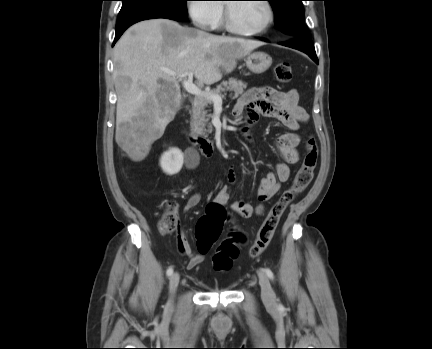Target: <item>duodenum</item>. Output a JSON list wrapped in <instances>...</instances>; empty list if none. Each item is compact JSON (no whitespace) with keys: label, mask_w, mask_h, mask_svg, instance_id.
Masks as SVG:
<instances>
[{"label":"duodenum","mask_w":432,"mask_h":349,"mask_svg":"<svg viewBox=\"0 0 432 349\" xmlns=\"http://www.w3.org/2000/svg\"><path fill=\"white\" fill-rule=\"evenodd\" d=\"M189 138L196 145V147L200 150L203 156L209 157L214 153L215 147L214 144L205 138L204 136L199 135L195 131H189Z\"/></svg>","instance_id":"obj_1"}]
</instances>
